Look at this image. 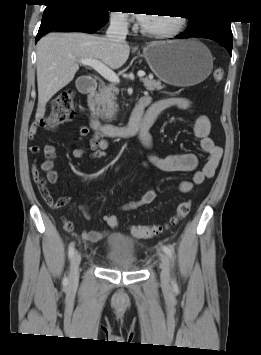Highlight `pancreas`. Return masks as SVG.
Returning <instances> with one entry per match:
<instances>
[{
    "label": "pancreas",
    "mask_w": 261,
    "mask_h": 355,
    "mask_svg": "<svg viewBox=\"0 0 261 355\" xmlns=\"http://www.w3.org/2000/svg\"><path fill=\"white\" fill-rule=\"evenodd\" d=\"M145 88L148 91L161 90L164 85L160 81L154 79H143ZM119 90L114 85L102 86L93 99H90V105L94 108L95 114L102 120L112 121L114 114L117 112L118 105L116 103Z\"/></svg>",
    "instance_id": "cf45deb5"
}]
</instances>
